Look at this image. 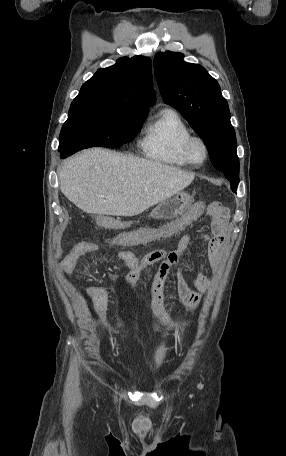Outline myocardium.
Returning <instances> with one entry per match:
<instances>
[{
  "label": "myocardium",
  "instance_id": "myocardium-1",
  "mask_svg": "<svg viewBox=\"0 0 286 456\" xmlns=\"http://www.w3.org/2000/svg\"><path fill=\"white\" fill-rule=\"evenodd\" d=\"M195 142L200 143L204 150V158L201 162H195L192 159L191 154H190L191 146ZM182 153H183L186 161L188 162V164H190L194 167H200V166L204 165L206 163V161L208 160L209 148H208L206 141L202 137L197 136V135H190L184 140V142L182 144Z\"/></svg>",
  "mask_w": 286,
  "mask_h": 456
}]
</instances>
